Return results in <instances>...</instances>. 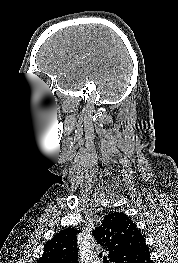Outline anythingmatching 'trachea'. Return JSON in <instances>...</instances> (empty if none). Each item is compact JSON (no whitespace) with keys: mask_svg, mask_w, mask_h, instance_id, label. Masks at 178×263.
I'll use <instances>...</instances> for the list:
<instances>
[{"mask_svg":"<svg viewBox=\"0 0 178 263\" xmlns=\"http://www.w3.org/2000/svg\"><path fill=\"white\" fill-rule=\"evenodd\" d=\"M104 263H108V260H104Z\"/></svg>","mask_w":178,"mask_h":263,"instance_id":"trachea-1","label":"trachea"}]
</instances>
